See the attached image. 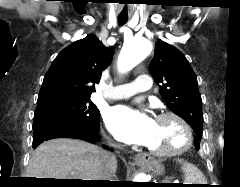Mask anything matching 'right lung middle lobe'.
<instances>
[{
	"label": "right lung middle lobe",
	"mask_w": 240,
	"mask_h": 187,
	"mask_svg": "<svg viewBox=\"0 0 240 187\" xmlns=\"http://www.w3.org/2000/svg\"><path fill=\"white\" fill-rule=\"evenodd\" d=\"M100 112L90 98L60 99L37 105L33 129L51 122L88 127L99 123Z\"/></svg>",
	"instance_id": "dd1d6c3e"
}]
</instances>
